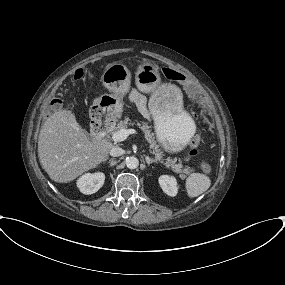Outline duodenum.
I'll return each mask as SVG.
<instances>
[{
    "label": "duodenum",
    "instance_id": "duodenum-1",
    "mask_svg": "<svg viewBox=\"0 0 285 285\" xmlns=\"http://www.w3.org/2000/svg\"><path fill=\"white\" fill-rule=\"evenodd\" d=\"M108 129V126L106 124L100 125L96 129L93 130V135L96 138H100Z\"/></svg>",
    "mask_w": 285,
    "mask_h": 285
}]
</instances>
